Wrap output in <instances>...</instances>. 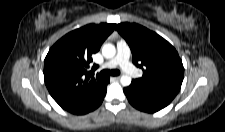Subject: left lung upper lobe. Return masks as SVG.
<instances>
[{"instance_id":"1","label":"left lung upper lobe","mask_w":225,"mask_h":132,"mask_svg":"<svg viewBox=\"0 0 225 132\" xmlns=\"http://www.w3.org/2000/svg\"><path fill=\"white\" fill-rule=\"evenodd\" d=\"M116 29L129 44L133 63L143 70V76L132 83L176 95L182 85L184 67L175 48L157 33L136 23H120Z\"/></svg>"}]
</instances>
